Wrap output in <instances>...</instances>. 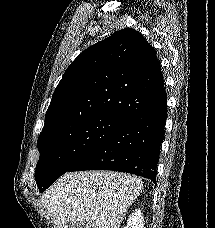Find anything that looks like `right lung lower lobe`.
Segmentation results:
<instances>
[{
    "label": "right lung lower lobe",
    "instance_id": "1",
    "mask_svg": "<svg viewBox=\"0 0 215 228\" xmlns=\"http://www.w3.org/2000/svg\"><path fill=\"white\" fill-rule=\"evenodd\" d=\"M166 99L125 119L68 172L113 170L142 176L156 184L160 148L165 138Z\"/></svg>",
    "mask_w": 215,
    "mask_h": 228
}]
</instances>
